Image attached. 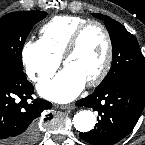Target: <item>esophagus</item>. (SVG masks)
Returning <instances> with one entry per match:
<instances>
[{
	"label": "esophagus",
	"instance_id": "esophagus-1",
	"mask_svg": "<svg viewBox=\"0 0 145 145\" xmlns=\"http://www.w3.org/2000/svg\"><path fill=\"white\" fill-rule=\"evenodd\" d=\"M60 108L63 110H72L75 108V105L74 104L61 105Z\"/></svg>",
	"mask_w": 145,
	"mask_h": 145
}]
</instances>
